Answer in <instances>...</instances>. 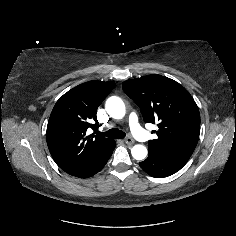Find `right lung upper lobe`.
I'll return each instance as SVG.
<instances>
[{
  "label": "right lung upper lobe",
  "instance_id": "cb5924a9",
  "mask_svg": "<svg viewBox=\"0 0 236 236\" xmlns=\"http://www.w3.org/2000/svg\"><path fill=\"white\" fill-rule=\"evenodd\" d=\"M114 86V82L89 81L69 90L55 104L46 140L54 161L66 173L83 174L115 143L87 134L88 128H98L97 108Z\"/></svg>",
  "mask_w": 236,
  "mask_h": 236
}]
</instances>
